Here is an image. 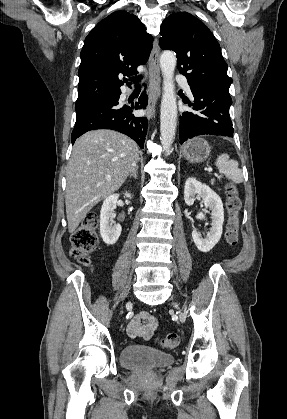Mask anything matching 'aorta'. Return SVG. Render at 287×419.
<instances>
[{"label": "aorta", "instance_id": "762f6f07", "mask_svg": "<svg viewBox=\"0 0 287 419\" xmlns=\"http://www.w3.org/2000/svg\"><path fill=\"white\" fill-rule=\"evenodd\" d=\"M176 56L172 51H164L160 57L163 76V96L161 100L160 140L164 150L173 143L177 126V102L174 84Z\"/></svg>", "mask_w": 287, "mask_h": 419}]
</instances>
